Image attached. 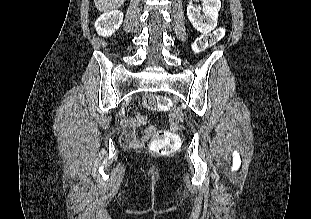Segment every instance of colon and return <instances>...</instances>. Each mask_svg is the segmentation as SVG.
Instances as JSON below:
<instances>
[{
	"mask_svg": "<svg viewBox=\"0 0 311 219\" xmlns=\"http://www.w3.org/2000/svg\"><path fill=\"white\" fill-rule=\"evenodd\" d=\"M223 36L224 31L222 29H218L209 36L200 37L196 42V50L198 52L203 51L208 45L215 43ZM144 106L148 110L152 111H166L171 108V102L166 97L150 94L145 98ZM125 138L126 137L124 136L121 139L123 143H127ZM178 145L179 140L174 134L169 132H153L151 149L154 152L162 155H168L174 152Z\"/></svg>",
	"mask_w": 311,
	"mask_h": 219,
	"instance_id": "5ec220e1",
	"label": "colon"
}]
</instances>
